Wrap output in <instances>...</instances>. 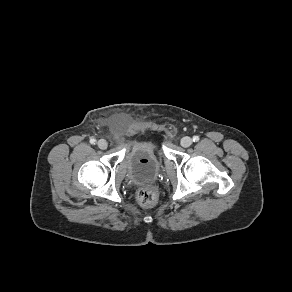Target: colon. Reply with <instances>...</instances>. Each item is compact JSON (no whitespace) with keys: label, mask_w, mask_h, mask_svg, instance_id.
<instances>
[{"label":"colon","mask_w":292,"mask_h":292,"mask_svg":"<svg viewBox=\"0 0 292 292\" xmlns=\"http://www.w3.org/2000/svg\"><path fill=\"white\" fill-rule=\"evenodd\" d=\"M159 193L156 187L154 186H144L139 189L137 193L138 202L143 207H152L158 201Z\"/></svg>","instance_id":"obj_1"}]
</instances>
